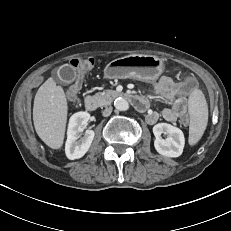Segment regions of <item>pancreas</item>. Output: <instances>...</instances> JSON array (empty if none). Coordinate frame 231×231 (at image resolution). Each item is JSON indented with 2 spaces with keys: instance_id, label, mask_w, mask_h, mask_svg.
Returning <instances> with one entry per match:
<instances>
[{
  "instance_id": "obj_1",
  "label": "pancreas",
  "mask_w": 231,
  "mask_h": 231,
  "mask_svg": "<svg viewBox=\"0 0 231 231\" xmlns=\"http://www.w3.org/2000/svg\"><path fill=\"white\" fill-rule=\"evenodd\" d=\"M116 96L117 92L112 90L98 92L94 95L99 106L109 105Z\"/></svg>"
}]
</instances>
